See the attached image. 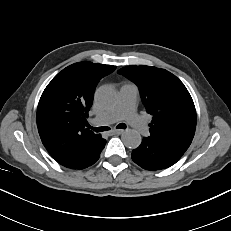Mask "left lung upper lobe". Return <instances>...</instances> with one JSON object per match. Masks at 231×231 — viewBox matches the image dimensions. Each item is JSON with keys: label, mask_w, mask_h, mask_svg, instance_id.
<instances>
[{"label": "left lung upper lobe", "mask_w": 231, "mask_h": 231, "mask_svg": "<svg viewBox=\"0 0 231 231\" xmlns=\"http://www.w3.org/2000/svg\"><path fill=\"white\" fill-rule=\"evenodd\" d=\"M118 73L138 86L146 111L153 116L150 136L187 150L195 134L196 111L184 84L169 71L156 67L127 66Z\"/></svg>", "instance_id": "obj_1"}]
</instances>
